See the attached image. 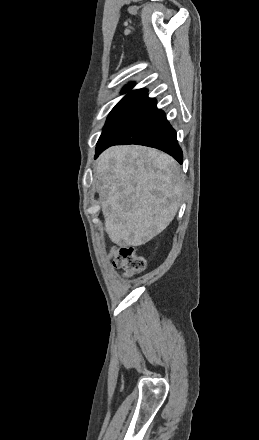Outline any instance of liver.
Listing matches in <instances>:
<instances>
[{
  "instance_id": "1",
  "label": "liver",
  "mask_w": 259,
  "mask_h": 440,
  "mask_svg": "<svg viewBox=\"0 0 259 440\" xmlns=\"http://www.w3.org/2000/svg\"><path fill=\"white\" fill-rule=\"evenodd\" d=\"M95 177L105 231L120 247L144 245L159 235L182 201L179 165L153 148L127 145L107 149L97 160Z\"/></svg>"
}]
</instances>
